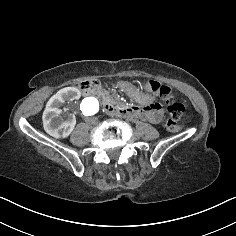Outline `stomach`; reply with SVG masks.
<instances>
[{
	"instance_id": "stomach-1",
	"label": "stomach",
	"mask_w": 236,
	"mask_h": 236,
	"mask_svg": "<svg viewBox=\"0 0 236 236\" xmlns=\"http://www.w3.org/2000/svg\"><path fill=\"white\" fill-rule=\"evenodd\" d=\"M118 91L121 94H124L130 100L135 101L140 105H150L153 102L154 94L150 90H140L134 84L129 83L128 81H121L118 84Z\"/></svg>"
}]
</instances>
